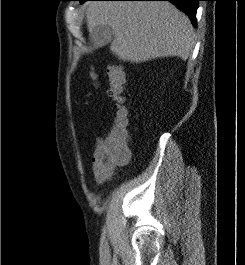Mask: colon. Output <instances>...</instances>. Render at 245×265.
Returning <instances> with one entry per match:
<instances>
[{"label": "colon", "instance_id": "colon-1", "mask_svg": "<svg viewBox=\"0 0 245 265\" xmlns=\"http://www.w3.org/2000/svg\"><path fill=\"white\" fill-rule=\"evenodd\" d=\"M109 81V95L116 101V117L114 125L104 136L100 145L93 154L94 165L107 173H111L117 166L126 163L130 157L129 119L128 112L123 106V93L125 91V73L120 65L112 64L107 67ZM91 78H96L91 73Z\"/></svg>", "mask_w": 245, "mask_h": 265}]
</instances>
